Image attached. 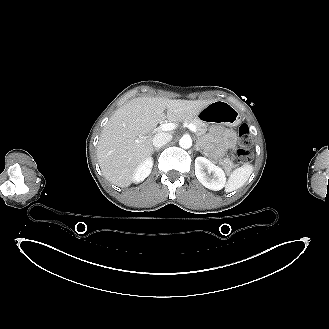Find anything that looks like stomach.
I'll use <instances>...</instances> for the list:
<instances>
[{"label": "stomach", "instance_id": "stomach-1", "mask_svg": "<svg viewBox=\"0 0 329 329\" xmlns=\"http://www.w3.org/2000/svg\"><path fill=\"white\" fill-rule=\"evenodd\" d=\"M197 117L208 124L222 122L229 127L237 126L241 122L239 112L222 100H215L207 105Z\"/></svg>", "mask_w": 329, "mask_h": 329}]
</instances>
